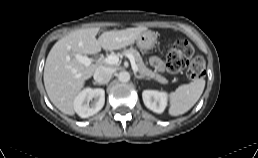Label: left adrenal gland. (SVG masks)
<instances>
[{"mask_svg": "<svg viewBox=\"0 0 258 158\" xmlns=\"http://www.w3.org/2000/svg\"><path fill=\"white\" fill-rule=\"evenodd\" d=\"M134 75H135V77L138 78V79L144 78V76L137 75L136 72H134ZM147 79H149V78H147Z\"/></svg>", "mask_w": 258, "mask_h": 158, "instance_id": "obj_1", "label": "left adrenal gland"}]
</instances>
